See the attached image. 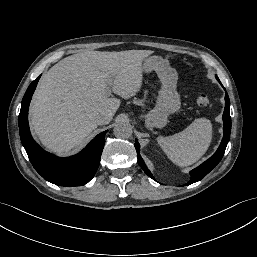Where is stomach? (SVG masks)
Instances as JSON below:
<instances>
[{
    "label": "stomach",
    "instance_id": "0dacf381",
    "mask_svg": "<svg viewBox=\"0 0 257 257\" xmlns=\"http://www.w3.org/2000/svg\"><path fill=\"white\" fill-rule=\"evenodd\" d=\"M142 69L147 73L155 71L162 84L155 107L144 115L146 127H164L167 117L180 108V95L176 90L177 75L174 74L169 61L160 56L144 59Z\"/></svg>",
    "mask_w": 257,
    "mask_h": 257
}]
</instances>
